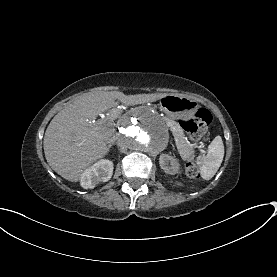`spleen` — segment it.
<instances>
[{
    "label": "spleen",
    "mask_w": 277,
    "mask_h": 277,
    "mask_svg": "<svg viewBox=\"0 0 277 277\" xmlns=\"http://www.w3.org/2000/svg\"><path fill=\"white\" fill-rule=\"evenodd\" d=\"M224 157V145L221 136H216L208 146V153L197 159L201 177L210 180L219 169Z\"/></svg>",
    "instance_id": "1"
}]
</instances>
